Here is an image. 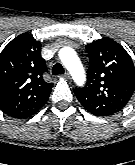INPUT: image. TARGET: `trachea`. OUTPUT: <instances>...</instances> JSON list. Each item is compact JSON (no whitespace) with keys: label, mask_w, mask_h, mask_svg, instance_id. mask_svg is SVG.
<instances>
[{"label":"trachea","mask_w":135,"mask_h":165,"mask_svg":"<svg viewBox=\"0 0 135 165\" xmlns=\"http://www.w3.org/2000/svg\"><path fill=\"white\" fill-rule=\"evenodd\" d=\"M52 74L58 75V74H64V68L60 63H56L52 68Z\"/></svg>","instance_id":"1"}]
</instances>
